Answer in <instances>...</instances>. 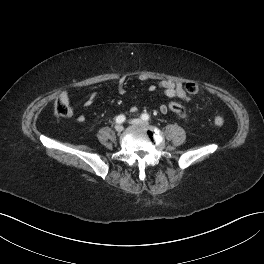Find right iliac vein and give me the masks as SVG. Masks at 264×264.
<instances>
[{
  "label": "right iliac vein",
  "instance_id": "1",
  "mask_svg": "<svg viewBox=\"0 0 264 264\" xmlns=\"http://www.w3.org/2000/svg\"><path fill=\"white\" fill-rule=\"evenodd\" d=\"M123 129H124L123 126L120 125V124L115 126V130H116L117 132H122Z\"/></svg>",
  "mask_w": 264,
  "mask_h": 264
}]
</instances>
